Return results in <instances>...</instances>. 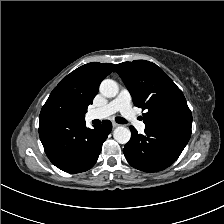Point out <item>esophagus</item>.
<instances>
[{
  "mask_svg": "<svg viewBox=\"0 0 224 224\" xmlns=\"http://www.w3.org/2000/svg\"><path fill=\"white\" fill-rule=\"evenodd\" d=\"M112 126H113V128H116V127L119 126V124L113 121V122H112Z\"/></svg>",
  "mask_w": 224,
  "mask_h": 224,
  "instance_id": "34e87169",
  "label": "esophagus"
}]
</instances>
